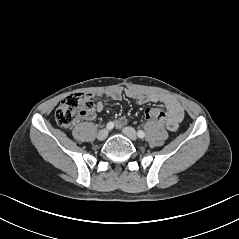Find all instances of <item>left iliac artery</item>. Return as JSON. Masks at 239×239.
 <instances>
[{
	"label": "left iliac artery",
	"instance_id": "obj_1",
	"mask_svg": "<svg viewBox=\"0 0 239 239\" xmlns=\"http://www.w3.org/2000/svg\"><path fill=\"white\" fill-rule=\"evenodd\" d=\"M137 135H138L139 138L145 137V133H144V131H142V130H139V131L137 132Z\"/></svg>",
	"mask_w": 239,
	"mask_h": 239
}]
</instances>
